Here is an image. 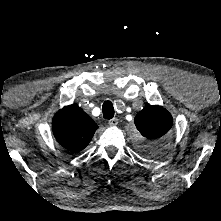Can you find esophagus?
<instances>
[{
    "label": "esophagus",
    "mask_w": 221,
    "mask_h": 221,
    "mask_svg": "<svg viewBox=\"0 0 221 221\" xmlns=\"http://www.w3.org/2000/svg\"><path fill=\"white\" fill-rule=\"evenodd\" d=\"M108 124L111 127H115L118 124V119L117 118H113V119L109 120Z\"/></svg>",
    "instance_id": "34e87169"
}]
</instances>
